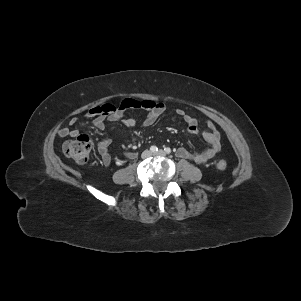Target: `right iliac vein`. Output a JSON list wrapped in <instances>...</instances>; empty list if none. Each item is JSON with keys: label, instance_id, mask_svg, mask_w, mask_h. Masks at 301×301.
Returning <instances> with one entry per match:
<instances>
[{"label": "right iliac vein", "instance_id": "63e3f726", "mask_svg": "<svg viewBox=\"0 0 301 301\" xmlns=\"http://www.w3.org/2000/svg\"><path fill=\"white\" fill-rule=\"evenodd\" d=\"M149 156H151V152H150L149 150H146V151H144V152L142 153V157H143V158H147V157H149Z\"/></svg>", "mask_w": 301, "mask_h": 301}]
</instances>
